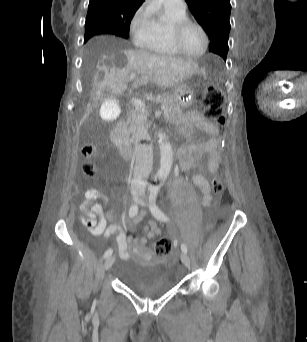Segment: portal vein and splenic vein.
<instances>
[{
    "instance_id": "1",
    "label": "portal vein and splenic vein",
    "mask_w": 307,
    "mask_h": 342,
    "mask_svg": "<svg viewBox=\"0 0 307 342\" xmlns=\"http://www.w3.org/2000/svg\"><path fill=\"white\" fill-rule=\"evenodd\" d=\"M136 78V74H130L129 80H134ZM130 104L135 105L136 109H143L144 111L147 109L145 102H140L139 98L135 95L130 99ZM162 112L165 110L163 107L160 109Z\"/></svg>"
}]
</instances>
